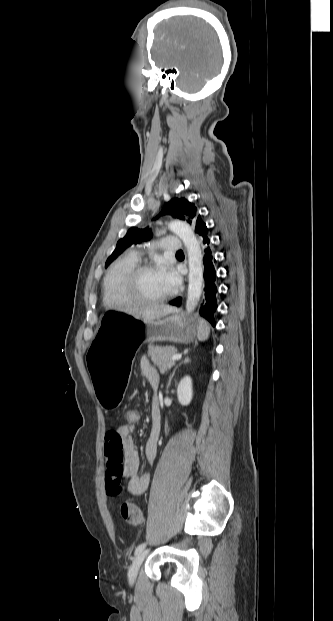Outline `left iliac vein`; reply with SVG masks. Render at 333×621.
Segmentation results:
<instances>
[{
    "instance_id": "4c4485c4",
    "label": "left iliac vein",
    "mask_w": 333,
    "mask_h": 621,
    "mask_svg": "<svg viewBox=\"0 0 333 621\" xmlns=\"http://www.w3.org/2000/svg\"><path fill=\"white\" fill-rule=\"evenodd\" d=\"M148 552H149V550H148V549H145V550H143L142 552H140V553H139V554L135 557V559H134V561H133V563H132V566H131V568H130V570H129V580H130V582H134V581H135V579H136V577H137V574H138V571H139V568H140V566H141V564H142L143 560H144V559H145V557L147 556Z\"/></svg>"
}]
</instances>
